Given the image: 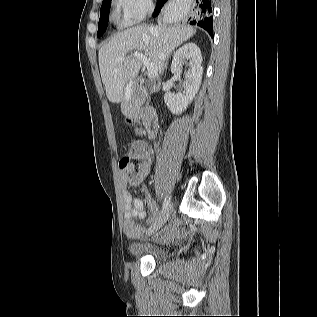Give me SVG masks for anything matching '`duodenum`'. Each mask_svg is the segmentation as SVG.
Returning a JSON list of instances; mask_svg holds the SVG:
<instances>
[{"mask_svg":"<svg viewBox=\"0 0 317 317\" xmlns=\"http://www.w3.org/2000/svg\"><path fill=\"white\" fill-rule=\"evenodd\" d=\"M137 102L135 100H122L121 106L124 115H141L144 121L146 133L149 139H154L158 133V119L156 113L151 108L144 109L142 102Z\"/></svg>","mask_w":317,"mask_h":317,"instance_id":"410a0bca","label":"duodenum"}]
</instances>
